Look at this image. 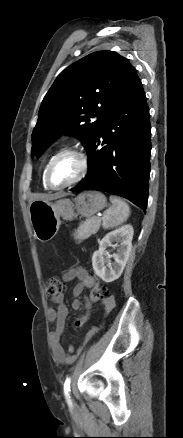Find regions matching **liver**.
<instances>
[{"label":"liver","instance_id":"1","mask_svg":"<svg viewBox=\"0 0 183 438\" xmlns=\"http://www.w3.org/2000/svg\"><path fill=\"white\" fill-rule=\"evenodd\" d=\"M66 195H67V194H65V193L39 194V195L35 196V197L30 201V203H31L32 201H34V200H38V199H40V200H48V201H50V200H55V199H58V198L64 197V196H66Z\"/></svg>","mask_w":183,"mask_h":438}]
</instances>
